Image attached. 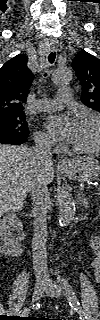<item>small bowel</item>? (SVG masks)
Segmentation results:
<instances>
[{"label":"small bowel","instance_id":"small-bowel-1","mask_svg":"<svg viewBox=\"0 0 100 320\" xmlns=\"http://www.w3.org/2000/svg\"><path fill=\"white\" fill-rule=\"evenodd\" d=\"M91 267H92V269L94 271L96 279L100 280V259L99 258H95L91 263Z\"/></svg>","mask_w":100,"mask_h":320}]
</instances>
